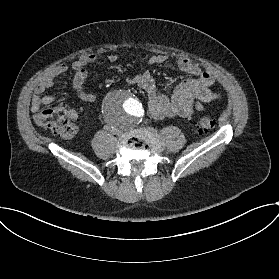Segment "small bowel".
<instances>
[{
	"instance_id": "c3829d8e",
	"label": "small bowel",
	"mask_w": 279,
	"mask_h": 279,
	"mask_svg": "<svg viewBox=\"0 0 279 279\" xmlns=\"http://www.w3.org/2000/svg\"><path fill=\"white\" fill-rule=\"evenodd\" d=\"M96 60L95 53H86L75 60L71 66L59 64L47 72L36 84L34 95L31 100V112L37 114L44 106L54 102L53 95L48 94L54 82L61 76L73 71L72 89L84 101L93 102L96 94L85 89L84 84L88 74L86 67ZM108 60L115 63L117 55L110 54ZM167 61L164 54H156L150 57L149 64L162 65ZM177 68L188 75L186 79L179 83L171 97L163 96L158 92L155 80L148 71L126 76V82L136 84L148 95L147 110L155 120L169 118H187L196 111L204 109V103L216 100L220 93L213 89L215 77L208 71H204L200 63L187 57H180L177 60ZM72 119L75 121L78 115L71 111Z\"/></svg>"
}]
</instances>
